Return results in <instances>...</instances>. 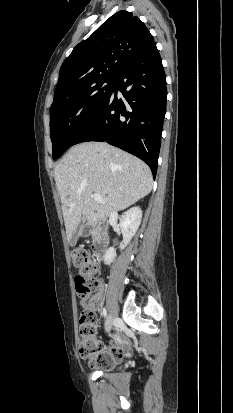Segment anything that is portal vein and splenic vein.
Listing matches in <instances>:
<instances>
[{
    "mask_svg": "<svg viewBox=\"0 0 233 413\" xmlns=\"http://www.w3.org/2000/svg\"><path fill=\"white\" fill-rule=\"evenodd\" d=\"M93 199L95 200V201H97V202H103V199H102V197L99 195V194H93Z\"/></svg>",
    "mask_w": 233,
    "mask_h": 413,
    "instance_id": "18ae733b",
    "label": "portal vein and splenic vein"
}]
</instances>
